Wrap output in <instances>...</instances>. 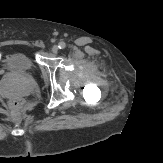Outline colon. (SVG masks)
Returning <instances> with one entry per match:
<instances>
[{"instance_id": "1", "label": "colon", "mask_w": 163, "mask_h": 163, "mask_svg": "<svg viewBox=\"0 0 163 163\" xmlns=\"http://www.w3.org/2000/svg\"><path fill=\"white\" fill-rule=\"evenodd\" d=\"M21 105H22L21 100L17 98L11 100L10 102V107L14 110L20 109Z\"/></svg>"}]
</instances>
